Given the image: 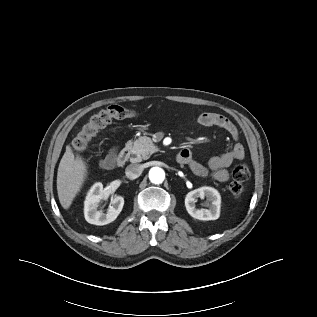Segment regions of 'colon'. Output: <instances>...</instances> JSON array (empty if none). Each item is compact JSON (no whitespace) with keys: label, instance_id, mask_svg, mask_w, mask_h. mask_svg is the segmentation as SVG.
I'll return each instance as SVG.
<instances>
[{"label":"colon","instance_id":"1","mask_svg":"<svg viewBox=\"0 0 317 317\" xmlns=\"http://www.w3.org/2000/svg\"><path fill=\"white\" fill-rule=\"evenodd\" d=\"M136 111L120 105H111L94 113L85 123L72 141L73 149L77 152L84 151L90 141L101 129L110 124L113 119H124L133 117ZM250 177V170L247 164L238 163L232 170V181L229 185L231 193L239 197L243 192V184Z\"/></svg>","mask_w":317,"mask_h":317}]
</instances>
